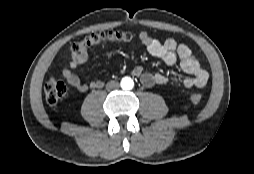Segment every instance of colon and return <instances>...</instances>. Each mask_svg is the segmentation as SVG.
I'll list each match as a JSON object with an SVG mask.
<instances>
[{"instance_id":"obj_1","label":"colon","mask_w":254,"mask_h":174,"mask_svg":"<svg viewBox=\"0 0 254 174\" xmlns=\"http://www.w3.org/2000/svg\"><path fill=\"white\" fill-rule=\"evenodd\" d=\"M133 39V35L129 32L123 31H102L92 33L85 37L83 40L75 43L72 46V52H81L88 50L95 46H98L104 42H116L125 43L130 42ZM67 86L64 81L56 78H50L45 82L44 94L46 101L49 104H56L66 94ZM202 100V96L199 93H192L190 95V101L193 104H198Z\"/></svg>"}]
</instances>
